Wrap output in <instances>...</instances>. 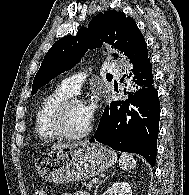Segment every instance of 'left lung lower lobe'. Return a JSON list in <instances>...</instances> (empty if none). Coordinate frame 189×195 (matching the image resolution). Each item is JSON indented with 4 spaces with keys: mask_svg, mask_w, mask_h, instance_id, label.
<instances>
[{
    "mask_svg": "<svg viewBox=\"0 0 189 195\" xmlns=\"http://www.w3.org/2000/svg\"><path fill=\"white\" fill-rule=\"evenodd\" d=\"M134 82L126 100L106 106L97 131L89 142H100L114 150L142 155L153 167L159 132L160 103L154 87L150 59L132 67Z\"/></svg>",
    "mask_w": 189,
    "mask_h": 195,
    "instance_id": "0a47b994",
    "label": "left lung lower lobe"
}]
</instances>
